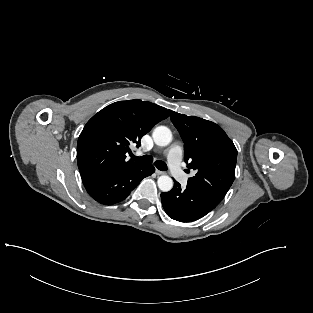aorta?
Wrapping results in <instances>:
<instances>
[{"label":"aorta","instance_id":"obj_1","mask_svg":"<svg viewBox=\"0 0 313 313\" xmlns=\"http://www.w3.org/2000/svg\"><path fill=\"white\" fill-rule=\"evenodd\" d=\"M152 137L156 145L167 146L172 140V133L166 126H158L154 129ZM157 184L161 191L168 192L173 187V180L167 175H162Z\"/></svg>","mask_w":313,"mask_h":313}]
</instances>
